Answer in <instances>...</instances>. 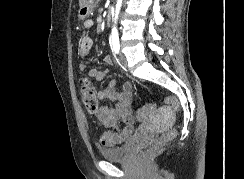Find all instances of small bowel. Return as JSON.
<instances>
[{"instance_id":"obj_1","label":"small bowel","mask_w":244,"mask_h":179,"mask_svg":"<svg viewBox=\"0 0 244 179\" xmlns=\"http://www.w3.org/2000/svg\"><path fill=\"white\" fill-rule=\"evenodd\" d=\"M92 27L93 20H85L84 30L89 32ZM92 46L91 36L88 33L81 35L77 42L78 57H87L92 50ZM104 63L110 66L112 64L111 57L106 56ZM78 67L81 71L86 69V65L82 62L79 63ZM89 76L95 80H102L105 78L106 72L91 69ZM132 91V83L127 82L122 86L121 90H117L115 81L111 80L105 89L98 92L97 99L99 101L110 100L114 102L112 107L100 105L96 113L99 122L110 128L102 134L100 139L102 144L106 146L121 144L132 133L135 124V117L132 115ZM122 124L125 126H122Z\"/></svg>"}]
</instances>
